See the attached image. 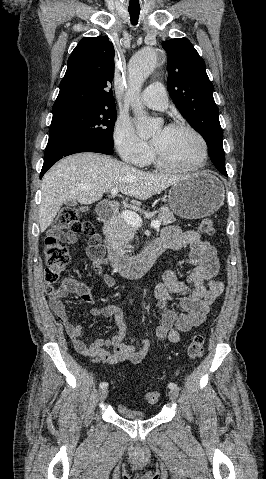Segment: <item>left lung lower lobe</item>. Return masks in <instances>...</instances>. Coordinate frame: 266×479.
I'll return each mask as SVG.
<instances>
[{"label": "left lung lower lobe", "instance_id": "obj_1", "mask_svg": "<svg viewBox=\"0 0 266 479\" xmlns=\"http://www.w3.org/2000/svg\"><path fill=\"white\" fill-rule=\"evenodd\" d=\"M220 172H221L223 175L227 176V172H226V171L222 170V171H220Z\"/></svg>", "mask_w": 266, "mask_h": 479}]
</instances>
